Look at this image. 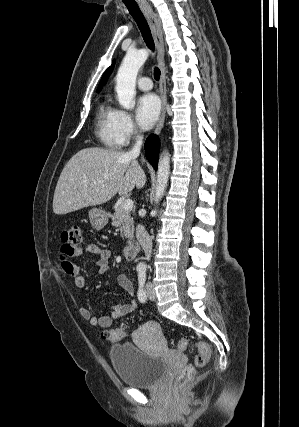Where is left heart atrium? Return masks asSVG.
Returning <instances> with one entry per match:
<instances>
[{
    "instance_id": "39dd6f15",
    "label": "left heart atrium",
    "mask_w": 299,
    "mask_h": 427,
    "mask_svg": "<svg viewBox=\"0 0 299 427\" xmlns=\"http://www.w3.org/2000/svg\"><path fill=\"white\" fill-rule=\"evenodd\" d=\"M160 113V101L154 94H145L137 101L136 119L144 129H149L157 121Z\"/></svg>"
}]
</instances>
